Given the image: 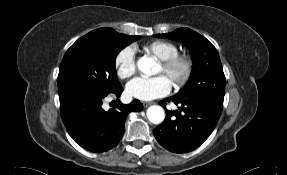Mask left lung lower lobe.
<instances>
[{
    "label": "left lung lower lobe",
    "instance_id": "left-lung-lower-lobe-1",
    "mask_svg": "<svg viewBox=\"0 0 287 175\" xmlns=\"http://www.w3.org/2000/svg\"><path fill=\"white\" fill-rule=\"evenodd\" d=\"M179 105V111L165 108L166 119L154 130V136L165 149L175 153L190 152L199 147L214 130L221 112L212 102L201 98H180L172 96L161 101Z\"/></svg>",
    "mask_w": 287,
    "mask_h": 175
}]
</instances>
